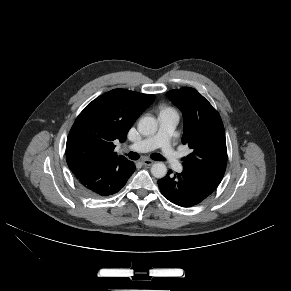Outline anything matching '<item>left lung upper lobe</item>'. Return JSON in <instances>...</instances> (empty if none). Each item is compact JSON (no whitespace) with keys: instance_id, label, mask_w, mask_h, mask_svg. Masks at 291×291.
Masks as SVG:
<instances>
[{"instance_id":"1","label":"left lung upper lobe","mask_w":291,"mask_h":291,"mask_svg":"<svg viewBox=\"0 0 291 291\" xmlns=\"http://www.w3.org/2000/svg\"><path fill=\"white\" fill-rule=\"evenodd\" d=\"M167 97L183 113L182 142L193 151L183 158L184 168L221 181L226 170L227 148L218 112L193 88L171 90Z\"/></svg>"}]
</instances>
